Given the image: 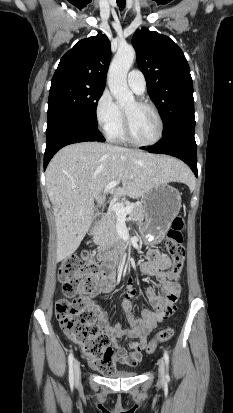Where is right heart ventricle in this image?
Returning a JSON list of instances; mask_svg holds the SVG:
<instances>
[{
	"label": "right heart ventricle",
	"mask_w": 233,
	"mask_h": 413,
	"mask_svg": "<svg viewBox=\"0 0 233 413\" xmlns=\"http://www.w3.org/2000/svg\"><path fill=\"white\" fill-rule=\"evenodd\" d=\"M110 140L113 142L124 143L126 142L125 134H124V118L122 113V122L116 132L109 137Z\"/></svg>",
	"instance_id": "1"
}]
</instances>
